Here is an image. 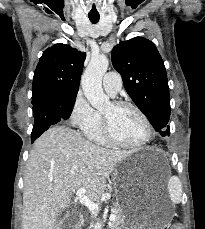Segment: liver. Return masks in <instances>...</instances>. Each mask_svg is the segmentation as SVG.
<instances>
[{"label": "liver", "instance_id": "6515ba94", "mask_svg": "<svg viewBox=\"0 0 205 229\" xmlns=\"http://www.w3.org/2000/svg\"><path fill=\"white\" fill-rule=\"evenodd\" d=\"M130 152L110 150L67 126H53L34 143L26 165L22 229H60L59 213L75 190L98 200L116 164Z\"/></svg>", "mask_w": 205, "mask_h": 229}]
</instances>
